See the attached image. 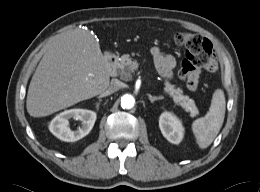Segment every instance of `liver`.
Listing matches in <instances>:
<instances>
[{
    "instance_id": "liver-1",
    "label": "liver",
    "mask_w": 260,
    "mask_h": 192,
    "mask_svg": "<svg viewBox=\"0 0 260 192\" xmlns=\"http://www.w3.org/2000/svg\"><path fill=\"white\" fill-rule=\"evenodd\" d=\"M105 58L94 35L84 29L55 40L31 79L26 108L44 117L103 93L109 86Z\"/></svg>"
}]
</instances>
